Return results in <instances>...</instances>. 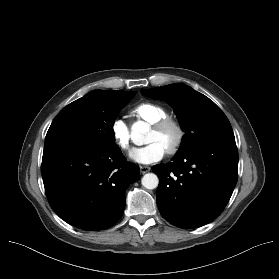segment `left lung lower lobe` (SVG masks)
Listing matches in <instances>:
<instances>
[{"mask_svg":"<svg viewBox=\"0 0 279 279\" xmlns=\"http://www.w3.org/2000/svg\"><path fill=\"white\" fill-rule=\"evenodd\" d=\"M152 170L159 177L156 200L162 216L177 227L196 228L227 205L238 179V150L235 141L207 142Z\"/></svg>","mask_w":279,"mask_h":279,"instance_id":"1","label":"left lung lower lobe"}]
</instances>
